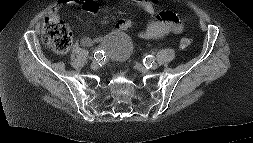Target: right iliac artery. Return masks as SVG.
<instances>
[{
	"label": "right iliac artery",
	"mask_w": 253,
	"mask_h": 143,
	"mask_svg": "<svg viewBox=\"0 0 253 143\" xmlns=\"http://www.w3.org/2000/svg\"><path fill=\"white\" fill-rule=\"evenodd\" d=\"M103 57H104L103 51L98 50L94 53V59L96 60H102Z\"/></svg>",
	"instance_id": "obj_1"
}]
</instances>
